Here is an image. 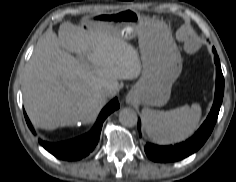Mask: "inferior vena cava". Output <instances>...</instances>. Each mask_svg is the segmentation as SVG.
<instances>
[{
	"mask_svg": "<svg viewBox=\"0 0 236 182\" xmlns=\"http://www.w3.org/2000/svg\"><path fill=\"white\" fill-rule=\"evenodd\" d=\"M101 95L103 97L109 98V97H113L114 96V92L112 90H110V89H103L101 91Z\"/></svg>",
	"mask_w": 236,
	"mask_h": 182,
	"instance_id": "inferior-vena-cava-1",
	"label": "inferior vena cava"
}]
</instances>
